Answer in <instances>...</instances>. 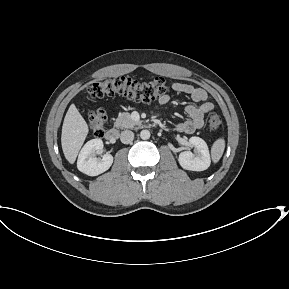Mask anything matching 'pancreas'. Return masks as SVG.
I'll list each match as a JSON object with an SVG mask.
<instances>
[{
  "mask_svg": "<svg viewBox=\"0 0 289 289\" xmlns=\"http://www.w3.org/2000/svg\"><path fill=\"white\" fill-rule=\"evenodd\" d=\"M138 124L139 122L134 121L128 112H122L118 115L114 126L123 129V128H133L135 125Z\"/></svg>",
  "mask_w": 289,
  "mask_h": 289,
  "instance_id": "obj_1",
  "label": "pancreas"
}]
</instances>
